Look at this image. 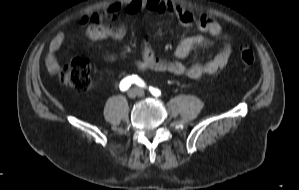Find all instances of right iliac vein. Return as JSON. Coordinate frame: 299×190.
Returning a JSON list of instances; mask_svg holds the SVG:
<instances>
[{
  "label": "right iliac vein",
  "mask_w": 299,
  "mask_h": 190,
  "mask_svg": "<svg viewBox=\"0 0 299 190\" xmlns=\"http://www.w3.org/2000/svg\"><path fill=\"white\" fill-rule=\"evenodd\" d=\"M139 93H140L139 89H137V88H133V89H131V90L128 91V96H129V98H132V99H133V98H135L136 96H138Z\"/></svg>",
  "instance_id": "right-iliac-vein-1"
}]
</instances>
